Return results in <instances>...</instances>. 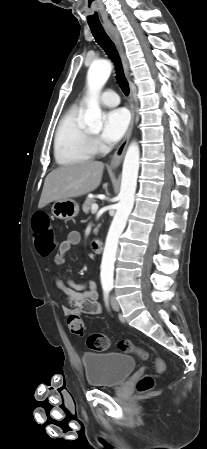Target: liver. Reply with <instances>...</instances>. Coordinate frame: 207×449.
Returning <instances> with one entry per match:
<instances>
[{"label":"liver","mask_w":207,"mask_h":449,"mask_svg":"<svg viewBox=\"0 0 207 449\" xmlns=\"http://www.w3.org/2000/svg\"><path fill=\"white\" fill-rule=\"evenodd\" d=\"M104 164L86 161L58 167L45 179L38 208L57 200L83 196L95 190L101 182Z\"/></svg>","instance_id":"1"}]
</instances>
